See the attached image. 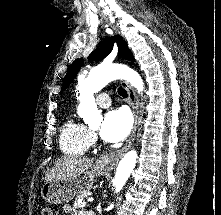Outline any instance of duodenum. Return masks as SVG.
Returning <instances> with one entry per match:
<instances>
[{
    "mask_svg": "<svg viewBox=\"0 0 221 215\" xmlns=\"http://www.w3.org/2000/svg\"><path fill=\"white\" fill-rule=\"evenodd\" d=\"M87 215H94V214H92V213H87Z\"/></svg>",
    "mask_w": 221,
    "mask_h": 215,
    "instance_id": "1",
    "label": "duodenum"
}]
</instances>
